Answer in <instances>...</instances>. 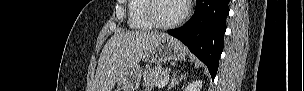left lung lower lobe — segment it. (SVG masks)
Masks as SVG:
<instances>
[{"instance_id": "1", "label": "left lung lower lobe", "mask_w": 304, "mask_h": 91, "mask_svg": "<svg viewBox=\"0 0 304 91\" xmlns=\"http://www.w3.org/2000/svg\"><path fill=\"white\" fill-rule=\"evenodd\" d=\"M228 3L229 0H196L192 18L182 27L168 30V34L182 41L206 64L212 79L224 47Z\"/></svg>"}]
</instances>
